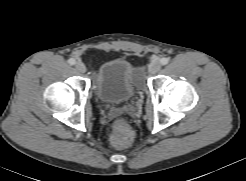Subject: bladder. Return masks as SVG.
Here are the masks:
<instances>
[{
    "instance_id": "1",
    "label": "bladder",
    "mask_w": 246,
    "mask_h": 181,
    "mask_svg": "<svg viewBox=\"0 0 246 181\" xmlns=\"http://www.w3.org/2000/svg\"><path fill=\"white\" fill-rule=\"evenodd\" d=\"M140 83V70L122 58L104 62L95 77L97 96L107 104L128 102L137 93Z\"/></svg>"
}]
</instances>
